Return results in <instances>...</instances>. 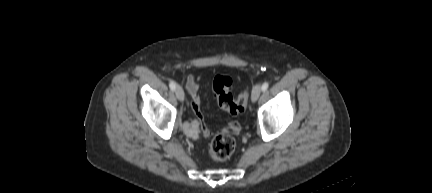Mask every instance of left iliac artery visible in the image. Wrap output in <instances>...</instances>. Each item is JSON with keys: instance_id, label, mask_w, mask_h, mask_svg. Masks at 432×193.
<instances>
[{"instance_id": "obj_1", "label": "left iliac artery", "mask_w": 432, "mask_h": 193, "mask_svg": "<svg viewBox=\"0 0 432 193\" xmlns=\"http://www.w3.org/2000/svg\"><path fill=\"white\" fill-rule=\"evenodd\" d=\"M268 87H269V83L268 82L263 83V85H262V91L263 92L266 91L268 89Z\"/></svg>"}]
</instances>
